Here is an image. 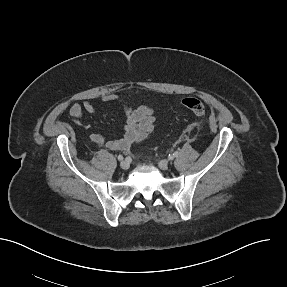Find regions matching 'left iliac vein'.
I'll list each match as a JSON object with an SVG mask.
<instances>
[{
    "label": "left iliac vein",
    "instance_id": "left-iliac-vein-1",
    "mask_svg": "<svg viewBox=\"0 0 287 287\" xmlns=\"http://www.w3.org/2000/svg\"><path fill=\"white\" fill-rule=\"evenodd\" d=\"M158 166H159L160 169L166 170L168 168V166H169V162L167 160H160L158 162Z\"/></svg>",
    "mask_w": 287,
    "mask_h": 287
}]
</instances>
